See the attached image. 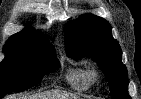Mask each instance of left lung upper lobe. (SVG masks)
<instances>
[{
	"label": "left lung upper lobe",
	"mask_w": 141,
	"mask_h": 99,
	"mask_svg": "<svg viewBox=\"0 0 141 99\" xmlns=\"http://www.w3.org/2000/svg\"><path fill=\"white\" fill-rule=\"evenodd\" d=\"M65 46L69 57L86 55L97 62L110 83L113 99H131L122 51L105 19L92 14L81 15L66 27Z\"/></svg>",
	"instance_id": "5c2ea615"
}]
</instances>
